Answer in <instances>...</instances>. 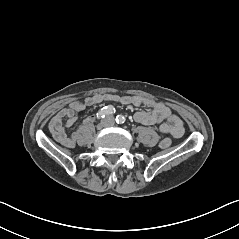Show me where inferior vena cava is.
<instances>
[{"instance_id": "1", "label": "inferior vena cava", "mask_w": 239, "mask_h": 239, "mask_svg": "<svg viewBox=\"0 0 239 239\" xmlns=\"http://www.w3.org/2000/svg\"><path fill=\"white\" fill-rule=\"evenodd\" d=\"M116 124V119L113 116H106L103 120H101V125L104 128L113 127Z\"/></svg>"}]
</instances>
